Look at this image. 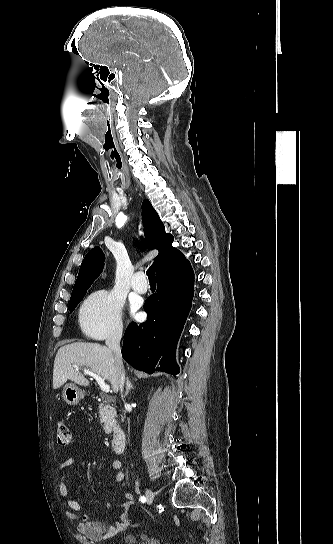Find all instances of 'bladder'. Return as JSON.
<instances>
[{
  "label": "bladder",
  "mask_w": 333,
  "mask_h": 544,
  "mask_svg": "<svg viewBox=\"0 0 333 544\" xmlns=\"http://www.w3.org/2000/svg\"><path fill=\"white\" fill-rule=\"evenodd\" d=\"M126 544H161V540L152 535L128 536Z\"/></svg>",
  "instance_id": "1"
}]
</instances>
